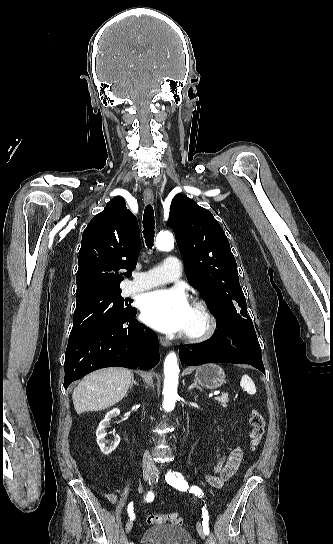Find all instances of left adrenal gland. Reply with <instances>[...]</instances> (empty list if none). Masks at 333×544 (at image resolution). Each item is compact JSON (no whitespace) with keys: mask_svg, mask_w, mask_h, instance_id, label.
Segmentation results:
<instances>
[{"mask_svg":"<svg viewBox=\"0 0 333 544\" xmlns=\"http://www.w3.org/2000/svg\"><path fill=\"white\" fill-rule=\"evenodd\" d=\"M193 388H197L198 390L202 391L201 387L197 385V381L194 380L193 384L191 386L188 387L189 390L193 389Z\"/></svg>","mask_w":333,"mask_h":544,"instance_id":"obj_1","label":"left adrenal gland"}]
</instances>
